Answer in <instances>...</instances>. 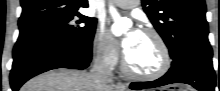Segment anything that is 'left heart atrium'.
Returning <instances> with one entry per match:
<instances>
[{
    "mask_svg": "<svg viewBox=\"0 0 220 91\" xmlns=\"http://www.w3.org/2000/svg\"><path fill=\"white\" fill-rule=\"evenodd\" d=\"M139 33H140L139 30L132 29L125 35L121 43L124 52H127L128 49L132 46L133 42L138 37Z\"/></svg>",
    "mask_w": 220,
    "mask_h": 91,
    "instance_id": "left-heart-atrium-1",
    "label": "left heart atrium"
}]
</instances>
